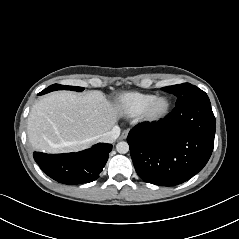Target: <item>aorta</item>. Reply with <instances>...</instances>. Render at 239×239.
Listing matches in <instances>:
<instances>
[{
    "mask_svg": "<svg viewBox=\"0 0 239 239\" xmlns=\"http://www.w3.org/2000/svg\"><path fill=\"white\" fill-rule=\"evenodd\" d=\"M116 150L118 153L125 154L129 151V145L127 142L121 141L117 143Z\"/></svg>",
    "mask_w": 239,
    "mask_h": 239,
    "instance_id": "aorta-1",
    "label": "aorta"
}]
</instances>
